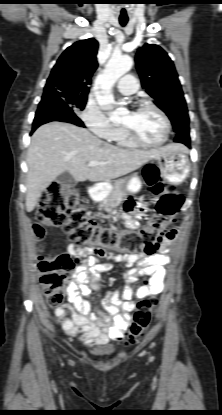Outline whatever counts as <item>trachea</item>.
Here are the masks:
<instances>
[{"label": "trachea", "instance_id": "1", "mask_svg": "<svg viewBox=\"0 0 222 415\" xmlns=\"http://www.w3.org/2000/svg\"><path fill=\"white\" fill-rule=\"evenodd\" d=\"M119 22H120L121 26H125L127 24L128 20L127 19H120Z\"/></svg>", "mask_w": 222, "mask_h": 415}]
</instances>
